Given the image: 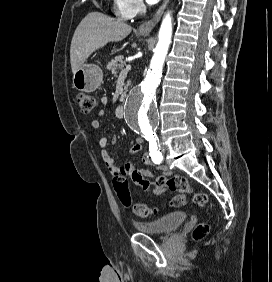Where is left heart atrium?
Returning a JSON list of instances; mask_svg holds the SVG:
<instances>
[{"label":"left heart atrium","mask_w":272,"mask_h":282,"mask_svg":"<svg viewBox=\"0 0 272 282\" xmlns=\"http://www.w3.org/2000/svg\"><path fill=\"white\" fill-rule=\"evenodd\" d=\"M159 0H147L149 4H156Z\"/></svg>","instance_id":"39dd6f15"}]
</instances>
